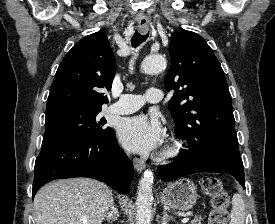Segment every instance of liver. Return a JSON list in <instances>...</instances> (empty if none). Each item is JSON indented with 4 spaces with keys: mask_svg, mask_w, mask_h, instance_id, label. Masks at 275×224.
<instances>
[{
    "mask_svg": "<svg viewBox=\"0 0 275 224\" xmlns=\"http://www.w3.org/2000/svg\"><path fill=\"white\" fill-rule=\"evenodd\" d=\"M113 203L107 185L88 178L61 179L35 195L36 224H101Z\"/></svg>",
    "mask_w": 275,
    "mask_h": 224,
    "instance_id": "1",
    "label": "liver"
}]
</instances>
